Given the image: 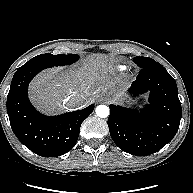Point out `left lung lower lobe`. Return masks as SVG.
I'll list each match as a JSON object with an SVG mask.
<instances>
[{"label":"left lung lower lobe","mask_w":193,"mask_h":193,"mask_svg":"<svg viewBox=\"0 0 193 193\" xmlns=\"http://www.w3.org/2000/svg\"><path fill=\"white\" fill-rule=\"evenodd\" d=\"M131 94L150 92L149 104L140 111L111 104L108 126L115 144L132 155L159 151L176 134L182 109L175 80L159 63L141 69Z\"/></svg>","instance_id":"left-lung-lower-lobe-1"}]
</instances>
